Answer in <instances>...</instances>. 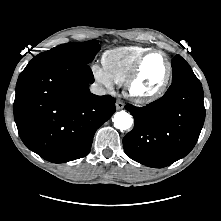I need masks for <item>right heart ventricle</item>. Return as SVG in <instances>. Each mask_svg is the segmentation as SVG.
<instances>
[{"mask_svg": "<svg viewBox=\"0 0 221 221\" xmlns=\"http://www.w3.org/2000/svg\"><path fill=\"white\" fill-rule=\"evenodd\" d=\"M150 48L130 45L106 50L102 55L103 68L117 85H124L138 58Z\"/></svg>", "mask_w": 221, "mask_h": 221, "instance_id": "obj_1", "label": "right heart ventricle"}]
</instances>
